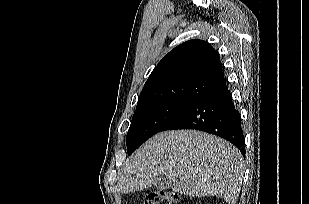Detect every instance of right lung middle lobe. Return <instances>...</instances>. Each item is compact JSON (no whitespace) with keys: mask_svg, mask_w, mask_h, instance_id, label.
Here are the masks:
<instances>
[{"mask_svg":"<svg viewBox=\"0 0 309 204\" xmlns=\"http://www.w3.org/2000/svg\"><path fill=\"white\" fill-rule=\"evenodd\" d=\"M196 103L198 102L164 99L137 104L127 133L128 155Z\"/></svg>","mask_w":309,"mask_h":204,"instance_id":"obj_1","label":"right lung middle lobe"}]
</instances>
